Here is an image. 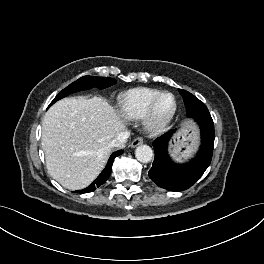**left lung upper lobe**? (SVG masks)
<instances>
[{
    "label": "left lung upper lobe",
    "instance_id": "left-lung-upper-lobe-1",
    "mask_svg": "<svg viewBox=\"0 0 264 264\" xmlns=\"http://www.w3.org/2000/svg\"><path fill=\"white\" fill-rule=\"evenodd\" d=\"M179 92L182 95L185 103L187 117L195 118L200 115L210 114L205 104L194 95L182 89H179Z\"/></svg>",
    "mask_w": 264,
    "mask_h": 264
}]
</instances>
